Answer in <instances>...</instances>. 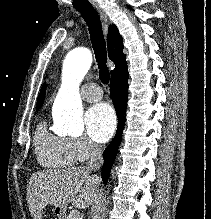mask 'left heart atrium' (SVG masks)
<instances>
[{
    "label": "left heart atrium",
    "instance_id": "1",
    "mask_svg": "<svg viewBox=\"0 0 211 219\" xmlns=\"http://www.w3.org/2000/svg\"><path fill=\"white\" fill-rule=\"evenodd\" d=\"M116 122V115L112 107L106 103L94 105L85 115L87 134L98 143L110 139L115 131Z\"/></svg>",
    "mask_w": 211,
    "mask_h": 219
}]
</instances>
